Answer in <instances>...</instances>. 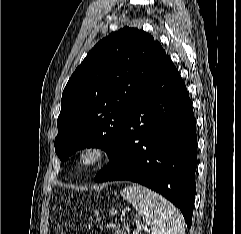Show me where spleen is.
<instances>
[{
	"label": "spleen",
	"instance_id": "obj_1",
	"mask_svg": "<svg viewBox=\"0 0 241 234\" xmlns=\"http://www.w3.org/2000/svg\"><path fill=\"white\" fill-rule=\"evenodd\" d=\"M121 195L152 226L151 234H185L181 213L163 196L138 184L125 187Z\"/></svg>",
	"mask_w": 241,
	"mask_h": 234
}]
</instances>
